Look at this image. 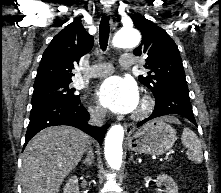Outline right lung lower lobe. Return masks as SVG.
Here are the masks:
<instances>
[{
	"mask_svg": "<svg viewBox=\"0 0 221 193\" xmlns=\"http://www.w3.org/2000/svg\"><path fill=\"white\" fill-rule=\"evenodd\" d=\"M88 111L78 101L55 100L32 105L30 122L25 136V144L42 129L55 125H69L81 129L102 144L109 125L91 126Z\"/></svg>",
	"mask_w": 221,
	"mask_h": 193,
	"instance_id": "right-lung-lower-lobe-1",
	"label": "right lung lower lobe"
}]
</instances>
